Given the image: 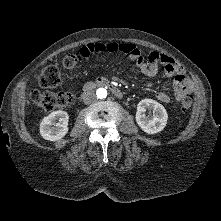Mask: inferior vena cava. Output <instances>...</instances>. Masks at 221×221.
Here are the masks:
<instances>
[{
    "instance_id": "inferior-vena-cava-1",
    "label": "inferior vena cava",
    "mask_w": 221,
    "mask_h": 221,
    "mask_svg": "<svg viewBox=\"0 0 221 221\" xmlns=\"http://www.w3.org/2000/svg\"><path fill=\"white\" fill-rule=\"evenodd\" d=\"M82 98L85 104H90L96 100V95L94 92H86L83 94Z\"/></svg>"
}]
</instances>
